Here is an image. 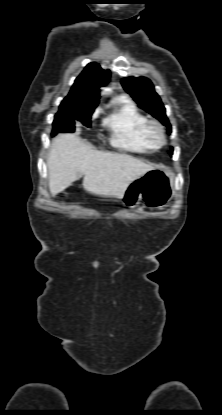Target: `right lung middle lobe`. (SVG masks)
<instances>
[{"label":"right lung middle lobe","mask_w":222,"mask_h":415,"mask_svg":"<svg viewBox=\"0 0 222 415\" xmlns=\"http://www.w3.org/2000/svg\"><path fill=\"white\" fill-rule=\"evenodd\" d=\"M94 109L95 107L87 106L59 108V112L55 115L53 122L52 135H55L58 132H74L76 121L90 127V119Z\"/></svg>","instance_id":"right-lung-middle-lobe-1"}]
</instances>
